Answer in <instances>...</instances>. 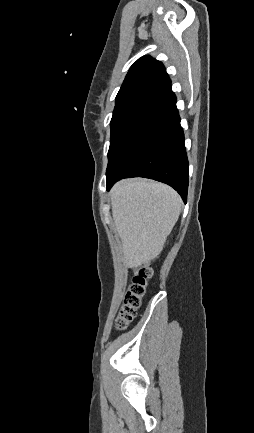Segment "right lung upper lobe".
I'll return each instance as SVG.
<instances>
[{
	"label": "right lung upper lobe",
	"mask_w": 254,
	"mask_h": 433,
	"mask_svg": "<svg viewBox=\"0 0 254 433\" xmlns=\"http://www.w3.org/2000/svg\"><path fill=\"white\" fill-rule=\"evenodd\" d=\"M170 83L163 64L150 56H143L131 66L115 104H144Z\"/></svg>",
	"instance_id": "cb5924a9"
}]
</instances>
